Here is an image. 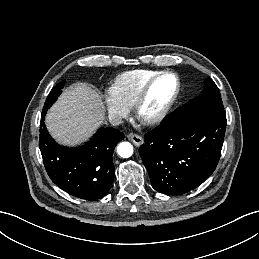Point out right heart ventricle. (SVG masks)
<instances>
[{"label": "right heart ventricle", "instance_id": "1", "mask_svg": "<svg viewBox=\"0 0 259 259\" xmlns=\"http://www.w3.org/2000/svg\"><path fill=\"white\" fill-rule=\"evenodd\" d=\"M158 71L136 69L119 74L111 87V94L127 108H131L145 83Z\"/></svg>", "mask_w": 259, "mask_h": 259}]
</instances>
